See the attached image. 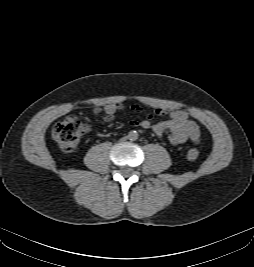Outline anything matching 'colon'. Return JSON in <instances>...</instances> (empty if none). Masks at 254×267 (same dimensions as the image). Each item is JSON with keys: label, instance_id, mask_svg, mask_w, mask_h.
I'll use <instances>...</instances> for the list:
<instances>
[{"label": "colon", "instance_id": "1", "mask_svg": "<svg viewBox=\"0 0 254 267\" xmlns=\"http://www.w3.org/2000/svg\"><path fill=\"white\" fill-rule=\"evenodd\" d=\"M84 131V125L75 117H67L52 128V137L64 152H72L77 147ZM189 160H196L199 151L191 148L187 152Z\"/></svg>", "mask_w": 254, "mask_h": 267}]
</instances>
